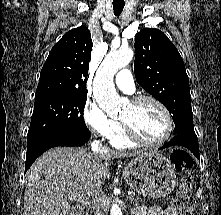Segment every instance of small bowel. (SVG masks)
<instances>
[{
  "label": "small bowel",
  "instance_id": "1",
  "mask_svg": "<svg viewBox=\"0 0 221 215\" xmlns=\"http://www.w3.org/2000/svg\"><path fill=\"white\" fill-rule=\"evenodd\" d=\"M133 215H179V213L174 207L163 209L155 206L151 208L137 207L134 209Z\"/></svg>",
  "mask_w": 221,
  "mask_h": 215
}]
</instances>
